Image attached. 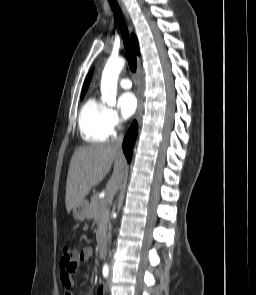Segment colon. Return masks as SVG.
Segmentation results:
<instances>
[{
  "instance_id": "1",
  "label": "colon",
  "mask_w": 256,
  "mask_h": 295,
  "mask_svg": "<svg viewBox=\"0 0 256 295\" xmlns=\"http://www.w3.org/2000/svg\"><path fill=\"white\" fill-rule=\"evenodd\" d=\"M79 263V254L71 244H63L61 246L60 265L67 270L73 271Z\"/></svg>"
}]
</instances>
